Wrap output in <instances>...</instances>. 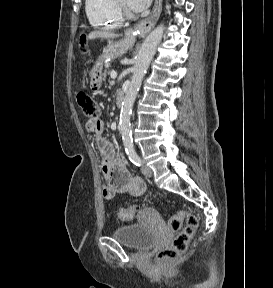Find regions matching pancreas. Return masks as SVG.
Masks as SVG:
<instances>
[{
	"mask_svg": "<svg viewBox=\"0 0 273 288\" xmlns=\"http://www.w3.org/2000/svg\"><path fill=\"white\" fill-rule=\"evenodd\" d=\"M110 73L109 70H105L104 73L102 74V80L105 82L107 75Z\"/></svg>",
	"mask_w": 273,
	"mask_h": 288,
	"instance_id": "1",
	"label": "pancreas"
}]
</instances>
